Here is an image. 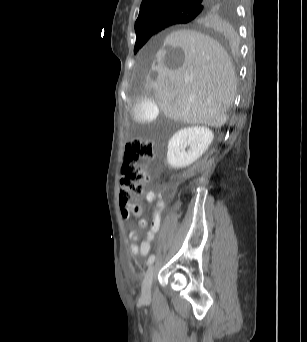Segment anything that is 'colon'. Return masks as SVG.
Returning <instances> with one entry per match:
<instances>
[{
	"label": "colon",
	"instance_id": "obj_1",
	"mask_svg": "<svg viewBox=\"0 0 307 342\" xmlns=\"http://www.w3.org/2000/svg\"><path fill=\"white\" fill-rule=\"evenodd\" d=\"M154 144L149 139L136 138L125 146L124 165L119 179V204L124 217L134 214L138 203L133 198L149 183L150 177L138 160L148 162L154 155Z\"/></svg>",
	"mask_w": 307,
	"mask_h": 342
}]
</instances>
